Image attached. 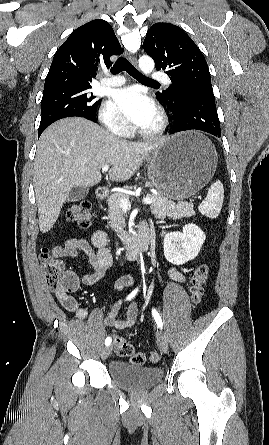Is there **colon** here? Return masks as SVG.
<instances>
[{"instance_id":"colon-1","label":"colon","mask_w":269,"mask_h":445,"mask_svg":"<svg viewBox=\"0 0 269 445\" xmlns=\"http://www.w3.org/2000/svg\"><path fill=\"white\" fill-rule=\"evenodd\" d=\"M66 218L69 222H74L82 228L88 227L92 221L90 203L81 201L72 205L66 212ZM40 259L43 277L49 288L58 289L65 294H69L76 289V281L69 276L61 261L56 259L47 249L41 251ZM208 276L209 268L206 264L198 265L192 273L190 298L195 307L199 306L203 300ZM113 345L117 355L128 357L129 361L134 365H141L145 361L150 363L159 361L157 352L151 351L147 354L135 353L133 345L122 337L115 336Z\"/></svg>"}]
</instances>
